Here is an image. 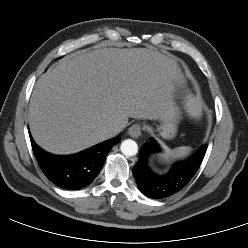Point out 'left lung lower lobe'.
Segmentation results:
<instances>
[{
  "instance_id": "obj_1",
  "label": "left lung lower lobe",
  "mask_w": 248,
  "mask_h": 248,
  "mask_svg": "<svg viewBox=\"0 0 248 248\" xmlns=\"http://www.w3.org/2000/svg\"><path fill=\"white\" fill-rule=\"evenodd\" d=\"M207 150V145L201 146L193 155L174 165L164 175L155 174L147 164L148 157L160 152V147L153 138L140 149V158L133 168V175L140 191L152 199H162L182 190L199 169Z\"/></svg>"
}]
</instances>
